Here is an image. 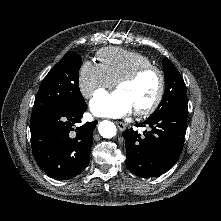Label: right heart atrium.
Returning a JSON list of instances; mask_svg holds the SVG:
<instances>
[{
  "label": "right heart atrium",
  "mask_w": 221,
  "mask_h": 221,
  "mask_svg": "<svg viewBox=\"0 0 221 221\" xmlns=\"http://www.w3.org/2000/svg\"><path fill=\"white\" fill-rule=\"evenodd\" d=\"M115 82L97 63L86 61L78 73V89L84 98L113 87Z\"/></svg>",
  "instance_id": "right-heart-atrium-1"
}]
</instances>
